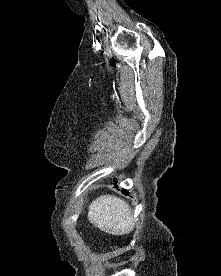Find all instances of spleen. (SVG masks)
<instances>
[{
  "label": "spleen",
  "mask_w": 221,
  "mask_h": 276,
  "mask_svg": "<svg viewBox=\"0 0 221 276\" xmlns=\"http://www.w3.org/2000/svg\"><path fill=\"white\" fill-rule=\"evenodd\" d=\"M88 220L111 235H125L134 229V218L128 203L111 195H103L90 204Z\"/></svg>",
  "instance_id": "3e777b00"
}]
</instances>
